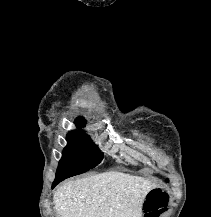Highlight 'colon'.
Masks as SVG:
<instances>
[{"label":"colon","instance_id":"obj_1","mask_svg":"<svg viewBox=\"0 0 211 217\" xmlns=\"http://www.w3.org/2000/svg\"><path fill=\"white\" fill-rule=\"evenodd\" d=\"M168 195L159 190L150 191L145 202V217H158L168 205Z\"/></svg>","mask_w":211,"mask_h":217}]
</instances>
